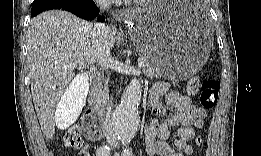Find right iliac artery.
Masks as SVG:
<instances>
[{"instance_id":"obj_1","label":"right iliac artery","mask_w":261,"mask_h":156,"mask_svg":"<svg viewBox=\"0 0 261 156\" xmlns=\"http://www.w3.org/2000/svg\"><path fill=\"white\" fill-rule=\"evenodd\" d=\"M96 154L98 156H108L110 154V148L107 145H102L97 149Z\"/></svg>"}]
</instances>
